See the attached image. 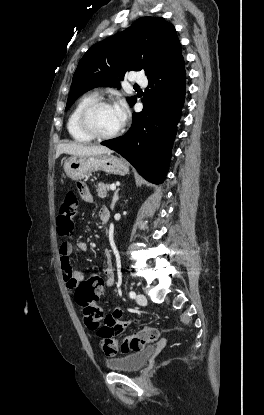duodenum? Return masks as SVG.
<instances>
[{
	"instance_id": "410a0bca",
	"label": "duodenum",
	"mask_w": 264,
	"mask_h": 415,
	"mask_svg": "<svg viewBox=\"0 0 264 415\" xmlns=\"http://www.w3.org/2000/svg\"><path fill=\"white\" fill-rule=\"evenodd\" d=\"M109 235H110V233L108 232V233H107V236L109 237Z\"/></svg>"
}]
</instances>
